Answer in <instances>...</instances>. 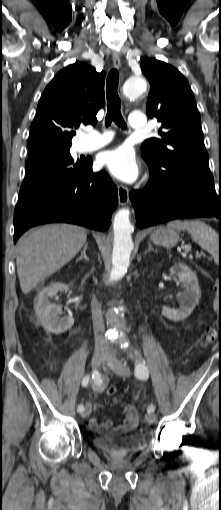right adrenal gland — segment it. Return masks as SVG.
Returning <instances> with one entry per match:
<instances>
[{"instance_id": "right-adrenal-gland-1", "label": "right adrenal gland", "mask_w": 221, "mask_h": 510, "mask_svg": "<svg viewBox=\"0 0 221 510\" xmlns=\"http://www.w3.org/2000/svg\"><path fill=\"white\" fill-rule=\"evenodd\" d=\"M88 250V243H85L84 247H83V250L81 252V255L76 259V261H81V260H86V261H89V258L86 254V251Z\"/></svg>"}]
</instances>
